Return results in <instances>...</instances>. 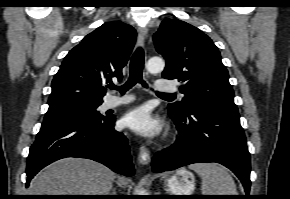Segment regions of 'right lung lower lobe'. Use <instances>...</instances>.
I'll return each mask as SVG.
<instances>
[{
    "label": "right lung lower lobe",
    "instance_id": "obj_1",
    "mask_svg": "<svg viewBox=\"0 0 290 199\" xmlns=\"http://www.w3.org/2000/svg\"><path fill=\"white\" fill-rule=\"evenodd\" d=\"M114 122V117H106L42 124L27 158L26 187L42 168L65 157L92 159L116 173L133 176L128 139L114 130Z\"/></svg>",
    "mask_w": 290,
    "mask_h": 199
}]
</instances>
